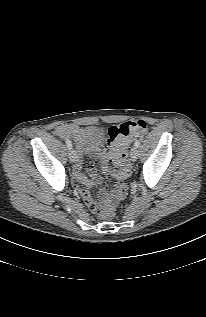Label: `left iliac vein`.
Returning a JSON list of instances; mask_svg holds the SVG:
<instances>
[{
    "label": "left iliac vein",
    "instance_id": "1",
    "mask_svg": "<svg viewBox=\"0 0 206 317\" xmlns=\"http://www.w3.org/2000/svg\"><path fill=\"white\" fill-rule=\"evenodd\" d=\"M130 156H131V159L133 161L137 160V158H138V149H137V147H135V146L132 147L131 152H130Z\"/></svg>",
    "mask_w": 206,
    "mask_h": 317
}]
</instances>
